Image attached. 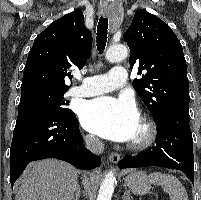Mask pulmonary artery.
<instances>
[{
    "label": "pulmonary artery",
    "instance_id": "e3ab8cb5",
    "mask_svg": "<svg viewBox=\"0 0 201 200\" xmlns=\"http://www.w3.org/2000/svg\"><path fill=\"white\" fill-rule=\"evenodd\" d=\"M126 71L123 67H113L108 73L85 77L80 86L69 89L72 97H90L107 93L125 84Z\"/></svg>",
    "mask_w": 201,
    "mask_h": 200
}]
</instances>
